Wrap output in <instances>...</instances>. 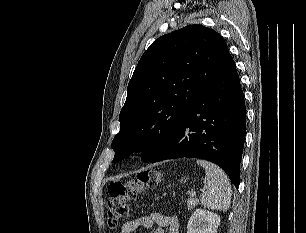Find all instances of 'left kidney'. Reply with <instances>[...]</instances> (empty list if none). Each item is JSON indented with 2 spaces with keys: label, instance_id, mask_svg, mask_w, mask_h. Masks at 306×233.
<instances>
[{
  "label": "left kidney",
  "instance_id": "left-kidney-1",
  "mask_svg": "<svg viewBox=\"0 0 306 233\" xmlns=\"http://www.w3.org/2000/svg\"><path fill=\"white\" fill-rule=\"evenodd\" d=\"M221 219L216 213L196 209L187 224V233H216Z\"/></svg>",
  "mask_w": 306,
  "mask_h": 233
}]
</instances>
